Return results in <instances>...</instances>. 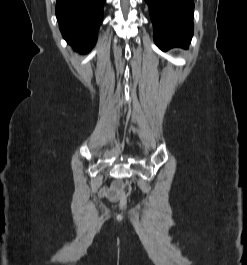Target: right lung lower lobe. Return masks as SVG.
Segmentation results:
<instances>
[{
	"label": "right lung lower lobe",
	"instance_id": "right-lung-lower-lobe-1",
	"mask_svg": "<svg viewBox=\"0 0 247 265\" xmlns=\"http://www.w3.org/2000/svg\"><path fill=\"white\" fill-rule=\"evenodd\" d=\"M105 0H57L56 16L66 41L88 52L96 42Z\"/></svg>",
	"mask_w": 247,
	"mask_h": 265
}]
</instances>
